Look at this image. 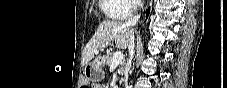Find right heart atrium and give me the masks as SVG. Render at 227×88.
<instances>
[{
  "label": "right heart atrium",
  "instance_id": "right-heart-atrium-1",
  "mask_svg": "<svg viewBox=\"0 0 227 88\" xmlns=\"http://www.w3.org/2000/svg\"><path fill=\"white\" fill-rule=\"evenodd\" d=\"M129 2H130V9H129L128 14H131L136 10L138 2L135 0H130Z\"/></svg>",
  "mask_w": 227,
  "mask_h": 88
}]
</instances>
